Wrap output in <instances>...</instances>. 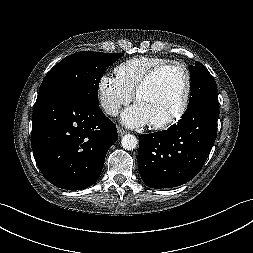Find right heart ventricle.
Masks as SVG:
<instances>
[{
	"label": "right heart ventricle",
	"instance_id": "obj_1",
	"mask_svg": "<svg viewBox=\"0 0 253 253\" xmlns=\"http://www.w3.org/2000/svg\"><path fill=\"white\" fill-rule=\"evenodd\" d=\"M167 63H169V60L161 57L137 56L115 67V79L127 91L133 94L138 83L148 71Z\"/></svg>",
	"mask_w": 253,
	"mask_h": 253
}]
</instances>
